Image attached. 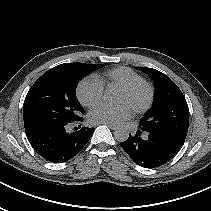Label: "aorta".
Segmentation results:
<instances>
[{"instance_id": "1", "label": "aorta", "mask_w": 211, "mask_h": 211, "mask_svg": "<svg viewBox=\"0 0 211 211\" xmlns=\"http://www.w3.org/2000/svg\"><path fill=\"white\" fill-rule=\"evenodd\" d=\"M103 98L108 103H112L116 100L115 95L108 89L105 90ZM114 137L119 142L126 141L129 137V131L125 127L117 128L114 131Z\"/></svg>"}]
</instances>
